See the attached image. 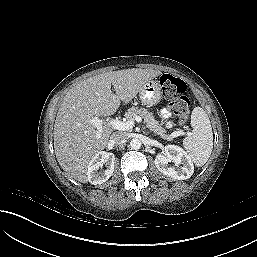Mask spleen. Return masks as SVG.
<instances>
[{
  "label": "spleen",
  "instance_id": "1",
  "mask_svg": "<svg viewBox=\"0 0 257 257\" xmlns=\"http://www.w3.org/2000/svg\"><path fill=\"white\" fill-rule=\"evenodd\" d=\"M191 126L192 133L183 140V146L193 163L200 167L207 162L213 149L212 127L203 108L193 109Z\"/></svg>",
  "mask_w": 257,
  "mask_h": 257
}]
</instances>
